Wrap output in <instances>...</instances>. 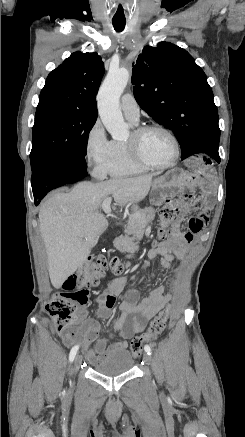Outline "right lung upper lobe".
Masks as SVG:
<instances>
[{
	"label": "right lung upper lobe",
	"instance_id": "right-lung-upper-lobe-1",
	"mask_svg": "<svg viewBox=\"0 0 245 437\" xmlns=\"http://www.w3.org/2000/svg\"><path fill=\"white\" fill-rule=\"evenodd\" d=\"M104 74L97 53H72L47 77L37 107L57 105L97 115L96 94Z\"/></svg>",
	"mask_w": 245,
	"mask_h": 437
}]
</instances>
